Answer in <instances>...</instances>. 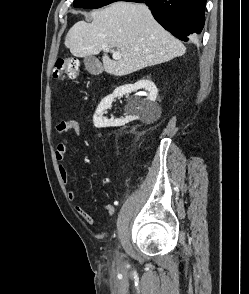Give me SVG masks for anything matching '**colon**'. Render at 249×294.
Instances as JSON below:
<instances>
[{"instance_id":"5ec220e1","label":"colon","mask_w":249,"mask_h":294,"mask_svg":"<svg viewBox=\"0 0 249 294\" xmlns=\"http://www.w3.org/2000/svg\"><path fill=\"white\" fill-rule=\"evenodd\" d=\"M80 77L79 62L69 57L57 59L53 71V78L56 82L62 83L65 80H77Z\"/></svg>"}]
</instances>
